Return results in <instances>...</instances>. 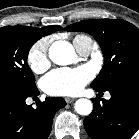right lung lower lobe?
<instances>
[{"label":"right lung lower lobe","mask_w":139,"mask_h":139,"mask_svg":"<svg viewBox=\"0 0 139 139\" xmlns=\"http://www.w3.org/2000/svg\"><path fill=\"white\" fill-rule=\"evenodd\" d=\"M39 94L0 86V139H47L55 113L66 105L61 97H49L36 108L26 98Z\"/></svg>","instance_id":"right-lung-lower-lobe-1"}]
</instances>
